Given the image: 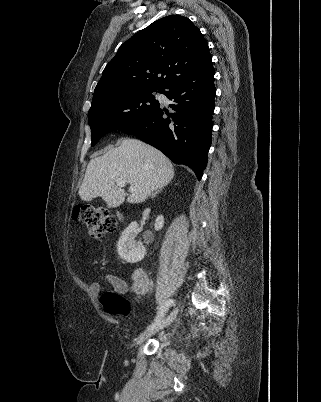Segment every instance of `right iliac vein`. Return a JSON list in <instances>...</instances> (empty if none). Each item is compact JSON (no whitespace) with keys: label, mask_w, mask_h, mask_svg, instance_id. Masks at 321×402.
Segmentation results:
<instances>
[{"label":"right iliac vein","mask_w":321,"mask_h":402,"mask_svg":"<svg viewBox=\"0 0 321 402\" xmlns=\"http://www.w3.org/2000/svg\"><path fill=\"white\" fill-rule=\"evenodd\" d=\"M178 313V309H174L173 312L166 318L164 319L159 326H157L156 328L152 329V330H147L143 333H141L137 339V344H141L144 341H146L147 339H149L151 336H153L154 334H156L159 330L167 327L177 316Z\"/></svg>","instance_id":"right-iliac-vein-1"}]
</instances>
